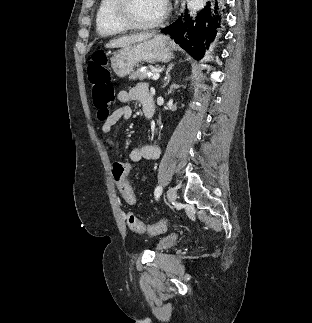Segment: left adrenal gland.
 <instances>
[{
  "mask_svg": "<svg viewBox=\"0 0 312 323\" xmlns=\"http://www.w3.org/2000/svg\"><path fill=\"white\" fill-rule=\"evenodd\" d=\"M173 66H174V64H170V66H168V68L166 70V76L164 78V84H163V86H161V88H165V86H167V84H169V82L171 80L170 72H171Z\"/></svg>",
  "mask_w": 312,
  "mask_h": 323,
  "instance_id": "left-adrenal-gland-1",
  "label": "left adrenal gland"
}]
</instances>
